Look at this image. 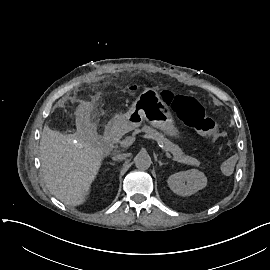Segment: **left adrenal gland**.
I'll use <instances>...</instances> for the list:
<instances>
[{"mask_svg": "<svg viewBox=\"0 0 270 270\" xmlns=\"http://www.w3.org/2000/svg\"><path fill=\"white\" fill-rule=\"evenodd\" d=\"M160 166H161V167L163 166V163H162V162H160Z\"/></svg>", "mask_w": 270, "mask_h": 270, "instance_id": "obj_1", "label": "left adrenal gland"}]
</instances>
